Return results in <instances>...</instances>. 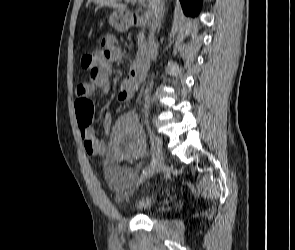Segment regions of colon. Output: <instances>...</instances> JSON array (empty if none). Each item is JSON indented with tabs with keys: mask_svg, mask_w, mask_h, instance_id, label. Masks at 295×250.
<instances>
[{
	"mask_svg": "<svg viewBox=\"0 0 295 250\" xmlns=\"http://www.w3.org/2000/svg\"><path fill=\"white\" fill-rule=\"evenodd\" d=\"M81 66L87 70H91L94 67V58L91 53H86L81 57ZM75 111L79 127L81 129L89 128L94 118L93 102L88 98L77 99Z\"/></svg>",
	"mask_w": 295,
	"mask_h": 250,
	"instance_id": "colon-1",
	"label": "colon"
}]
</instances>
